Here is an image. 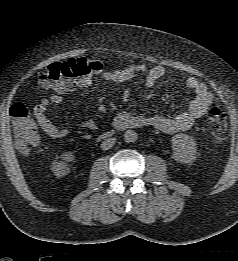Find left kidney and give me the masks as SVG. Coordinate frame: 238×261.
<instances>
[{"label": "left kidney", "instance_id": "obj_1", "mask_svg": "<svg viewBox=\"0 0 238 261\" xmlns=\"http://www.w3.org/2000/svg\"><path fill=\"white\" fill-rule=\"evenodd\" d=\"M173 158L180 163H192L197 157V145L194 139L186 134H176L172 137Z\"/></svg>", "mask_w": 238, "mask_h": 261}]
</instances>
